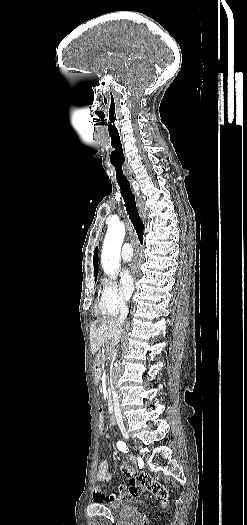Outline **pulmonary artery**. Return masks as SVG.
Returning a JSON list of instances; mask_svg holds the SVG:
<instances>
[{"instance_id": "pulmonary-artery-1", "label": "pulmonary artery", "mask_w": 247, "mask_h": 525, "mask_svg": "<svg viewBox=\"0 0 247 525\" xmlns=\"http://www.w3.org/2000/svg\"><path fill=\"white\" fill-rule=\"evenodd\" d=\"M132 255L133 250L131 249L130 243H125L122 247V255L120 257L121 262L124 264L129 263Z\"/></svg>"}]
</instances>
